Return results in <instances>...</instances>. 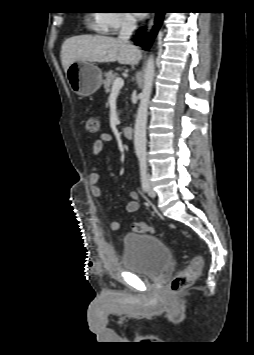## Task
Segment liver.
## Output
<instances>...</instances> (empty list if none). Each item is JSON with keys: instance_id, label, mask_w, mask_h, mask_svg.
Returning a JSON list of instances; mask_svg holds the SVG:
<instances>
[{"instance_id": "obj_1", "label": "liver", "mask_w": 254, "mask_h": 355, "mask_svg": "<svg viewBox=\"0 0 254 355\" xmlns=\"http://www.w3.org/2000/svg\"><path fill=\"white\" fill-rule=\"evenodd\" d=\"M64 71L75 61L115 62L136 65L141 51L130 43L104 35H79L64 41L61 48Z\"/></svg>"}]
</instances>
